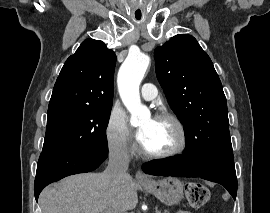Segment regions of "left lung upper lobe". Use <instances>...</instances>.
<instances>
[{
    "instance_id": "5c2ea615",
    "label": "left lung upper lobe",
    "mask_w": 270,
    "mask_h": 213,
    "mask_svg": "<svg viewBox=\"0 0 270 213\" xmlns=\"http://www.w3.org/2000/svg\"><path fill=\"white\" fill-rule=\"evenodd\" d=\"M154 56L157 78L184 126L186 143L206 160L233 156L223 87L197 40L176 35Z\"/></svg>"
}]
</instances>
